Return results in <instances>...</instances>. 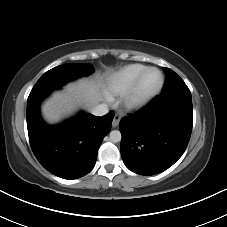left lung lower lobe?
<instances>
[{"label":"left lung lower lobe","instance_id":"obj_1","mask_svg":"<svg viewBox=\"0 0 227 227\" xmlns=\"http://www.w3.org/2000/svg\"><path fill=\"white\" fill-rule=\"evenodd\" d=\"M192 124L191 97L157 96L120 122L124 164L140 175L165 171L184 153Z\"/></svg>","mask_w":227,"mask_h":227}]
</instances>
